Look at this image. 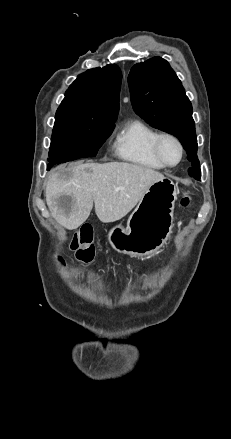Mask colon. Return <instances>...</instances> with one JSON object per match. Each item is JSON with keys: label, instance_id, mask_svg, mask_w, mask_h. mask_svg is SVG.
<instances>
[{"label": "colon", "instance_id": "obj_1", "mask_svg": "<svg viewBox=\"0 0 231 439\" xmlns=\"http://www.w3.org/2000/svg\"><path fill=\"white\" fill-rule=\"evenodd\" d=\"M190 202L188 195L183 196L181 199V205L186 207ZM93 229L91 226H83L75 234L73 242L71 244L72 250L76 253V258L83 262L89 263L95 256V247L93 244Z\"/></svg>", "mask_w": 231, "mask_h": 439}]
</instances>
